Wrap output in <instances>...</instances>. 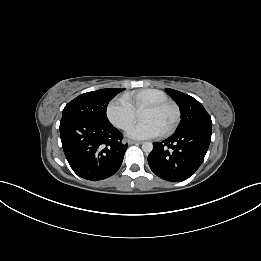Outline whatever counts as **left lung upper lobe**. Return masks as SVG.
Returning a JSON list of instances; mask_svg holds the SVG:
<instances>
[{"mask_svg": "<svg viewBox=\"0 0 261 261\" xmlns=\"http://www.w3.org/2000/svg\"><path fill=\"white\" fill-rule=\"evenodd\" d=\"M166 92L176 101L181 111V122L177 131L212 125L211 117L195 98L173 89H166Z\"/></svg>", "mask_w": 261, "mask_h": 261, "instance_id": "left-lung-upper-lobe-1", "label": "left lung upper lobe"}]
</instances>
